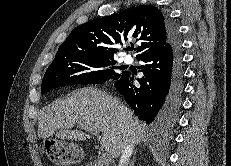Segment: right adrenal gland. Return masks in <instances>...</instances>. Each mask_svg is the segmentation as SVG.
I'll return each instance as SVG.
<instances>
[{
    "mask_svg": "<svg viewBox=\"0 0 231 166\" xmlns=\"http://www.w3.org/2000/svg\"><path fill=\"white\" fill-rule=\"evenodd\" d=\"M135 155H136V150L134 151L132 161L129 166H134L135 165Z\"/></svg>",
    "mask_w": 231,
    "mask_h": 166,
    "instance_id": "right-adrenal-gland-1",
    "label": "right adrenal gland"
}]
</instances>
